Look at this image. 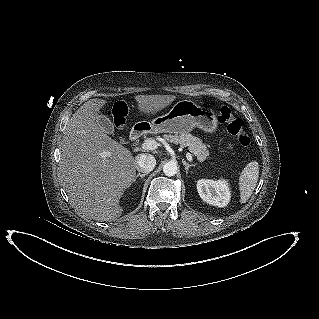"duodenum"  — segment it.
<instances>
[{"mask_svg":"<svg viewBox=\"0 0 319 319\" xmlns=\"http://www.w3.org/2000/svg\"><path fill=\"white\" fill-rule=\"evenodd\" d=\"M150 129L151 128H150L149 124H146V123L137 124L131 130L129 138L131 141H135L138 138H140L143 134L148 132Z\"/></svg>","mask_w":319,"mask_h":319,"instance_id":"duodenum-1","label":"duodenum"}]
</instances>
